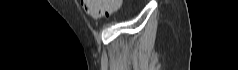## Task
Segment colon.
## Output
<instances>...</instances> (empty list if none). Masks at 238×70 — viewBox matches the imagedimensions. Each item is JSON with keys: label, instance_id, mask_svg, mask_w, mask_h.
I'll return each instance as SVG.
<instances>
[{"label": "colon", "instance_id": "colon-1", "mask_svg": "<svg viewBox=\"0 0 238 70\" xmlns=\"http://www.w3.org/2000/svg\"><path fill=\"white\" fill-rule=\"evenodd\" d=\"M122 0H83L82 4L85 10L92 17H107L112 12H119Z\"/></svg>", "mask_w": 238, "mask_h": 70}]
</instances>
